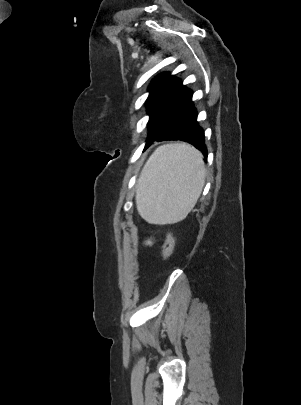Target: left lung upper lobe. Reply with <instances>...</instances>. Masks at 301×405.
<instances>
[{
	"label": "left lung upper lobe",
	"instance_id": "5c2ea615",
	"mask_svg": "<svg viewBox=\"0 0 301 405\" xmlns=\"http://www.w3.org/2000/svg\"><path fill=\"white\" fill-rule=\"evenodd\" d=\"M186 87L169 73L158 75L150 84L147 99L149 118L148 136L155 133L163 124L174 105L184 96Z\"/></svg>",
	"mask_w": 301,
	"mask_h": 405
}]
</instances>
